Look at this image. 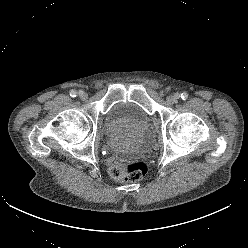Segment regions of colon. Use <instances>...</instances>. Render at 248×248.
<instances>
[{"label": "colon", "mask_w": 248, "mask_h": 248, "mask_svg": "<svg viewBox=\"0 0 248 248\" xmlns=\"http://www.w3.org/2000/svg\"><path fill=\"white\" fill-rule=\"evenodd\" d=\"M148 171L147 164L140 160H121L110 168V175L116 181H138Z\"/></svg>", "instance_id": "5ec220e1"}]
</instances>
